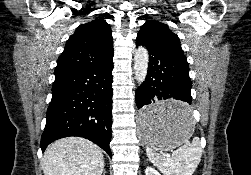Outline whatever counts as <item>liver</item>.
Masks as SVG:
<instances>
[{"label":"liver","mask_w":251,"mask_h":175,"mask_svg":"<svg viewBox=\"0 0 251 175\" xmlns=\"http://www.w3.org/2000/svg\"><path fill=\"white\" fill-rule=\"evenodd\" d=\"M44 175H101L103 153L84 137H63L50 143L42 157Z\"/></svg>","instance_id":"liver-1"}]
</instances>
